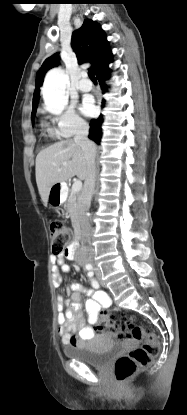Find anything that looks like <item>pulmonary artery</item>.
<instances>
[{
    "mask_svg": "<svg viewBox=\"0 0 187 415\" xmlns=\"http://www.w3.org/2000/svg\"><path fill=\"white\" fill-rule=\"evenodd\" d=\"M81 92H88L92 89V83L87 79L86 73H82L81 80L77 85Z\"/></svg>",
    "mask_w": 187,
    "mask_h": 415,
    "instance_id": "obj_1",
    "label": "pulmonary artery"
}]
</instances>
